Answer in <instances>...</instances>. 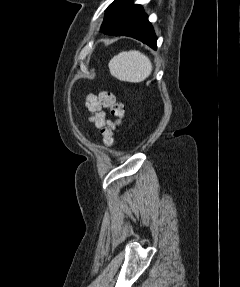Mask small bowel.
<instances>
[{"mask_svg": "<svg viewBox=\"0 0 240 287\" xmlns=\"http://www.w3.org/2000/svg\"><path fill=\"white\" fill-rule=\"evenodd\" d=\"M85 106L89 112V122H91L96 128L102 130L107 124L106 112L103 110L98 101V98L94 94H89L85 99Z\"/></svg>", "mask_w": 240, "mask_h": 287, "instance_id": "small-bowel-1", "label": "small bowel"}]
</instances>
